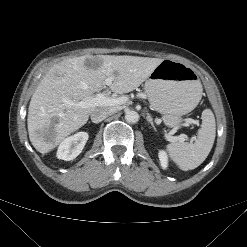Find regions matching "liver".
Returning a JSON list of instances; mask_svg holds the SVG:
<instances>
[{
  "mask_svg": "<svg viewBox=\"0 0 247 247\" xmlns=\"http://www.w3.org/2000/svg\"><path fill=\"white\" fill-rule=\"evenodd\" d=\"M161 62L159 58L127 55H84L54 64L41 80L29 104L27 124L32 145L46 154L85 125L96 109L116 108H81L65 101L76 104L93 97L106 87L108 78L112 80L108 85L112 92L123 94L133 91Z\"/></svg>",
  "mask_w": 247,
  "mask_h": 247,
  "instance_id": "obj_1",
  "label": "liver"
}]
</instances>
